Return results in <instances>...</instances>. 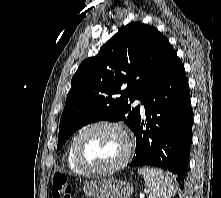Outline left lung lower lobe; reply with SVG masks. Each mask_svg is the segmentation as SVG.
Segmentation results:
<instances>
[{
    "instance_id": "0a47b994",
    "label": "left lung lower lobe",
    "mask_w": 221,
    "mask_h": 198,
    "mask_svg": "<svg viewBox=\"0 0 221 198\" xmlns=\"http://www.w3.org/2000/svg\"><path fill=\"white\" fill-rule=\"evenodd\" d=\"M142 103L147 123L141 122L140 117L133 130L136 154L130 165L160 167L183 181L188 169L193 114L185 69L176 52Z\"/></svg>"
}]
</instances>
